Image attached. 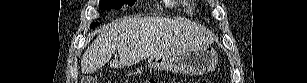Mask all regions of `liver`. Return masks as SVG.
Masks as SVG:
<instances>
[{"instance_id": "6515ba94", "label": "liver", "mask_w": 307, "mask_h": 83, "mask_svg": "<svg viewBox=\"0 0 307 83\" xmlns=\"http://www.w3.org/2000/svg\"><path fill=\"white\" fill-rule=\"evenodd\" d=\"M214 40L212 32L191 21L166 18L123 17L102 27L99 36L85 51L81 69L90 74L102 68L118 51L114 68L137 63L155 55L171 56Z\"/></svg>"}]
</instances>
